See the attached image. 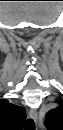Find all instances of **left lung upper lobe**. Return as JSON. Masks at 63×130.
I'll return each mask as SVG.
<instances>
[{
    "label": "left lung upper lobe",
    "mask_w": 63,
    "mask_h": 130,
    "mask_svg": "<svg viewBox=\"0 0 63 130\" xmlns=\"http://www.w3.org/2000/svg\"><path fill=\"white\" fill-rule=\"evenodd\" d=\"M45 125L49 130H60L63 127V106L52 109L47 113Z\"/></svg>",
    "instance_id": "5c2ea615"
}]
</instances>
